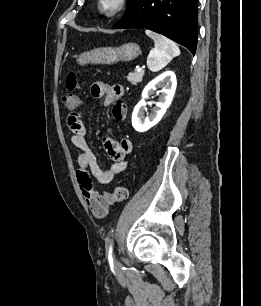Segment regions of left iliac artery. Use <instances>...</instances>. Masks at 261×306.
<instances>
[{
  "label": "left iliac artery",
  "mask_w": 261,
  "mask_h": 306,
  "mask_svg": "<svg viewBox=\"0 0 261 306\" xmlns=\"http://www.w3.org/2000/svg\"><path fill=\"white\" fill-rule=\"evenodd\" d=\"M112 253H113L112 244H110L109 253H108V259H109L110 261L113 260Z\"/></svg>",
  "instance_id": "44dca946"
}]
</instances>
